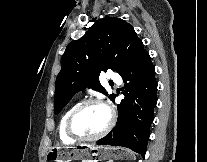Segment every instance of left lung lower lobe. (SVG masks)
I'll use <instances>...</instances> for the list:
<instances>
[{
    "label": "left lung lower lobe",
    "instance_id": "left-lung-lower-lobe-1",
    "mask_svg": "<svg viewBox=\"0 0 207 162\" xmlns=\"http://www.w3.org/2000/svg\"><path fill=\"white\" fill-rule=\"evenodd\" d=\"M121 77L125 99L118 105L117 124L97 143L127 147L145 156L157 103L155 67L148 52L144 51Z\"/></svg>",
    "mask_w": 207,
    "mask_h": 162
}]
</instances>
